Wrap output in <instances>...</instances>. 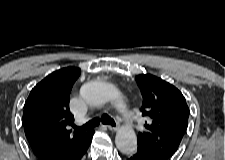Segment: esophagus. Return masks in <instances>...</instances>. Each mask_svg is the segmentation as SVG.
I'll return each mask as SVG.
<instances>
[{"label": "esophagus", "mask_w": 225, "mask_h": 160, "mask_svg": "<svg viewBox=\"0 0 225 160\" xmlns=\"http://www.w3.org/2000/svg\"><path fill=\"white\" fill-rule=\"evenodd\" d=\"M105 127L108 128V129L111 130V131H116V130H118V128H119V123L116 122V125H115V126L105 125Z\"/></svg>", "instance_id": "1"}]
</instances>
